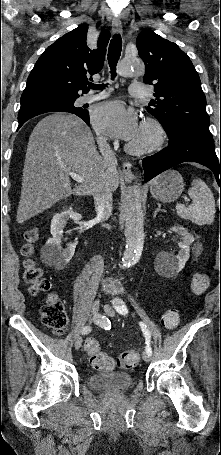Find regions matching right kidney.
I'll return each mask as SVG.
<instances>
[{
    "label": "right kidney",
    "instance_id": "obj_1",
    "mask_svg": "<svg viewBox=\"0 0 221 455\" xmlns=\"http://www.w3.org/2000/svg\"><path fill=\"white\" fill-rule=\"evenodd\" d=\"M81 218V214L73 211L71 207L53 216L50 227L52 237L41 249V259L45 264L56 269H63L69 263L75 253L77 243H72L65 249L61 247L63 228L69 219L79 221Z\"/></svg>",
    "mask_w": 221,
    "mask_h": 455
}]
</instances>
